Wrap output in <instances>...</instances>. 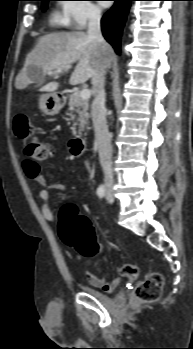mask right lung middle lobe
Wrapping results in <instances>:
<instances>
[{
	"label": "right lung middle lobe",
	"mask_w": 193,
	"mask_h": 349,
	"mask_svg": "<svg viewBox=\"0 0 193 349\" xmlns=\"http://www.w3.org/2000/svg\"><path fill=\"white\" fill-rule=\"evenodd\" d=\"M40 1H42V8H43V10H45L47 7L48 1H50V0H40Z\"/></svg>",
	"instance_id": "1"
}]
</instances>
